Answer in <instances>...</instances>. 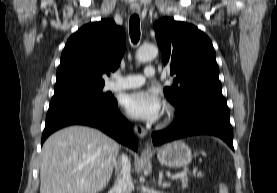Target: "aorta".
I'll use <instances>...</instances> for the list:
<instances>
[{
    "instance_id": "aorta-1",
    "label": "aorta",
    "mask_w": 277,
    "mask_h": 193,
    "mask_svg": "<svg viewBox=\"0 0 277 193\" xmlns=\"http://www.w3.org/2000/svg\"><path fill=\"white\" fill-rule=\"evenodd\" d=\"M158 55V48L154 45H144L136 52V59L139 62L151 61Z\"/></svg>"
}]
</instances>
